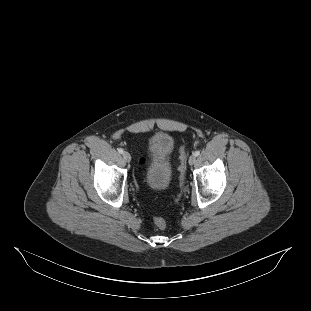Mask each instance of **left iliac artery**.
<instances>
[{"label": "left iliac artery", "mask_w": 311, "mask_h": 311, "mask_svg": "<svg viewBox=\"0 0 311 311\" xmlns=\"http://www.w3.org/2000/svg\"><path fill=\"white\" fill-rule=\"evenodd\" d=\"M200 154V151H195L194 155L198 156Z\"/></svg>", "instance_id": "left-iliac-artery-1"}]
</instances>
